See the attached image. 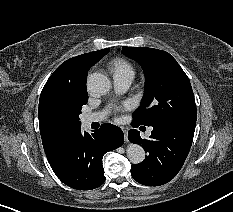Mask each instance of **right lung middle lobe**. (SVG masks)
Masks as SVG:
<instances>
[{"label":"right lung middle lobe","instance_id":"dd1d6c3e","mask_svg":"<svg viewBox=\"0 0 233 212\" xmlns=\"http://www.w3.org/2000/svg\"><path fill=\"white\" fill-rule=\"evenodd\" d=\"M88 101L87 91L57 96L48 105L50 120L57 127L73 131L81 127L79 114Z\"/></svg>","mask_w":233,"mask_h":212}]
</instances>
